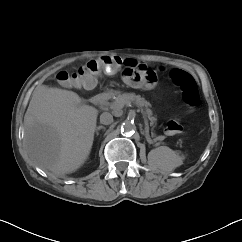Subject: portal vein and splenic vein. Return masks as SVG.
Returning <instances> with one entry per match:
<instances>
[{
	"label": "portal vein and splenic vein",
	"mask_w": 242,
	"mask_h": 242,
	"mask_svg": "<svg viewBox=\"0 0 242 242\" xmlns=\"http://www.w3.org/2000/svg\"><path fill=\"white\" fill-rule=\"evenodd\" d=\"M140 111H141L142 114H144L143 110H140ZM144 120H145V123H146V125H147V120H146L145 117H144Z\"/></svg>",
	"instance_id": "1"
}]
</instances>
